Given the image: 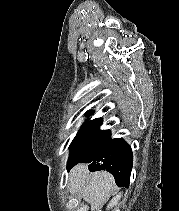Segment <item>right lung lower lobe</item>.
<instances>
[{
	"instance_id": "1",
	"label": "right lung lower lobe",
	"mask_w": 179,
	"mask_h": 211,
	"mask_svg": "<svg viewBox=\"0 0 179 211\" xmlns=\"http://www.w3.org/2000/svg\"><path fill=\"white\" fill-rule=\"evenodd\" d=\"M78 163H88L90 171L107 170L119 187L129 186L133 165V153L130 146L123 139H109L99 149L79 160L69 164L70 170Z\"/></svg>"
}]
</instances>
